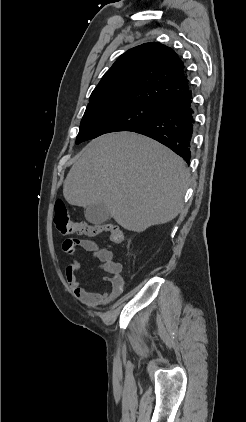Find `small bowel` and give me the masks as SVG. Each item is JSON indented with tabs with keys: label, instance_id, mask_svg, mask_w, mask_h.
<instances>
[{
	"label": "small bowel",
	"instance_id": "1",
	"mask_svg": "<svg viewBox=\"0 0 246 422\" xmlns=\"http://www.w3.org/2000/svg\"><path fill=\"white\" fill-rule=\"evenodd\" d=\"M78 248L93 253L109 274L105 278L109 284V288L105 292H91L83 287L78 278L81 269V264L76 256ZM63 250L70 259L65 270L67 282L80 300L90 306H101L111 303L121 295L124 288V280L121 275L122 265L113 260L110 250L101 248L95 241L88 239H66L63 243Z\"/></svg>",
	"mask_w": 246,
	"mask_h": 422
}]
</instances>
